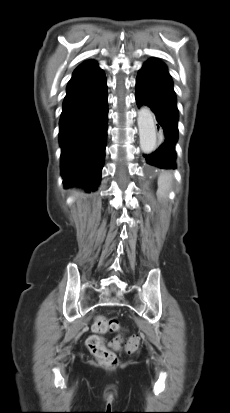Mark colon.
<instances>
[{
  "mask_svg": "<svg viewBox=\"0 0 230 413\" xmlns=\"http://www.w3.org/2000/svg\"><path fill=\"white\" fill-rule=\"evenodd\" d=\"M119 325L115 318L98 316L93 324V330L96 333H105L108 331L118 330ZM120 340L115 342L118 346ZM139 345V337L133 335L128 343L127 350L133 352L137 349ZM87 347L89 351L95 356V358L102 364L106 366H116L118 364V358L116 354L111 351L103 341V339L97 335L89 337L87 341Z\"/></svg>",
  "mask_w": 230,
  "mask_h": 413,
  "instance_id": "obj_1",
  "label": "colon"
}]
</instances>
